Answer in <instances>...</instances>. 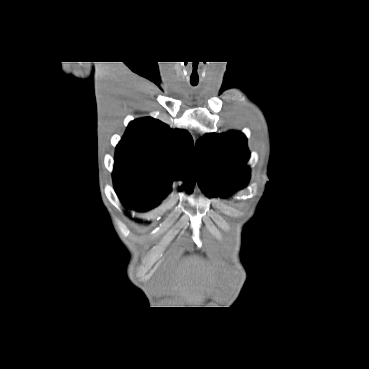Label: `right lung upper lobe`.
Returning <instances> with one entry per match:
<instances>
[{
  "instance_id": "1",
  "label": "right lung upper lobe",
  "mask_w": 369,
  "mask_h": 369,
  "mask_svg": "<svg viewBox=\"0 0 369 369\" xmlns=\"http://www.w3.org/2000/svg\"><path fill=\"white\" fill-rule=\"evenodd\" d=\"M113 179L136 192L164 198L174 180L195 185L194 143L191 135L146 117L132 121L116 147Z\"/></svg>"
}]
</instances>
